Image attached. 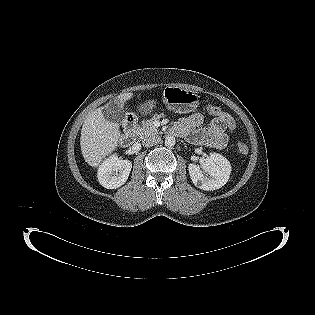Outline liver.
<instances>
[{"label": "liver", "mask_w": 315, "mask_h": 315, "mask_svg": "<svg viewBox=\"0 0 315 315\" xmlns=\"http://www.w3.org/2000/svg\"><path fill=\"white\" fill-rule=\"evenodd\" d=\"M131 97L132 93H124L117 97L120 109ZM103 109L100 107L89 113L81 129L82 155L92 167H98L106 156L115 151L122 140L119 124L107 120L103 115Z\"/></svg>", "instance_id": "1"}]
</instances>
